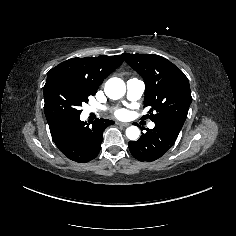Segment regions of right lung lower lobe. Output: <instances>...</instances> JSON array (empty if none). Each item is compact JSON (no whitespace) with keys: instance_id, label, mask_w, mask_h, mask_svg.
<instances>
[{"instance_id":"right-lung-lower-lobe-1","label":"right lung lower lobe","mask_w":236,"mask_h":236,"mask_svg":"<svg viewBox=\"0 0 236 236\" xmlns=\"http://www.w3.org/2000/svg\"><path fill=\"white\" fill-rule=\"evenodd\" d=\"M111 124L114 122L100 118L89 126L79 116L50 129V132L54 143L67 158L83 163L91 161L99 154L103 131Z\"/></svg>"}]
</instances>
